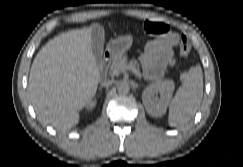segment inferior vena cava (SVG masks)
<instances>
[{
  "instance_id": "inferior-vena-cava-1",
  "label": "inferior vena cava",
  "mask_w": 243,
  "mask_h": 167,
  "mask_svg": "<svg viewBox=\"0 0 243 167\" xmlns=\"http://www.w3.org/2000/svg\"><path fill=\"white\" fill-rule=\"evenodd\" d=\"M113 84V81L112 80H105L103 83H102V86L104 87H108L110 85Z\"/></svg>"
}]
</instances>
